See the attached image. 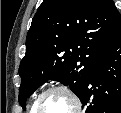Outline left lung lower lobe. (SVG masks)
Returning a JSON list of instances; mask_svg holds the SVG:
<instances>
[{
  "label": "left lung lower lobe",
  "instance_id": "obj_1",
  "mask_svg": "<svg viewBox=\"0 0 121 113\" xmlns=\"http://www.w3.org/2000/svg\"><path fill=\"white\" fill-rule=\"evenodd\" d=\"M86 113H121V23L80 94Z\"/></svg>",
  "mask_w": 121,
  "mask_h": 113
}]
</instances>
